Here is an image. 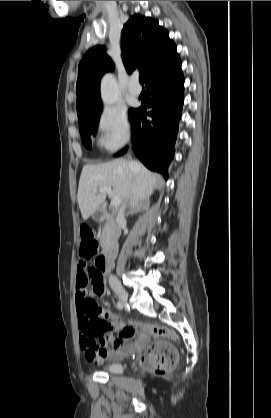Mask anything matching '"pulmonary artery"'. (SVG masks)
Here are the masks:
<instances>
[{
  "mask_svg": "<svg viewBox=\"0 0 271 418\" xmlns=\"http://www.w3.org/2000/svg\"><path fill=\"white\" fill-rule=\"evenodd\" d=\"M129 93L134 97H138L141 94V89L137 84V79L136 78H134L131 81V84L129 86Z\"/></svg>",
  "mask_w": 271,
  "mask_h": 418,
  "instance_id": "pulmonary-artery-1",
  "label": "pulmonary artery"
}]
</instances>
